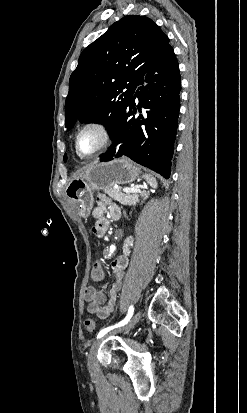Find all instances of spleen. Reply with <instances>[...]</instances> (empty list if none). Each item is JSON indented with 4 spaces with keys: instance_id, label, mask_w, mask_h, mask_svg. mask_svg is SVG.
<instances>
[{
    "instance_id": "1",
    "label": "spleen",
    "mask_w": 247,
    "mask_h": 413,
    "mask_svg": "<svg viewBox=\"0 0 247 413\" xmlns=\"http://www.w3.org/2000/svg\"><path fill=\"white\" fill-rule=\"evenodd\" d=\"M144 178H146L147 182H149L150 186H153V188H156L157 182L155 176H152V174H143Z\"/></svg>"
}]
</instances>
